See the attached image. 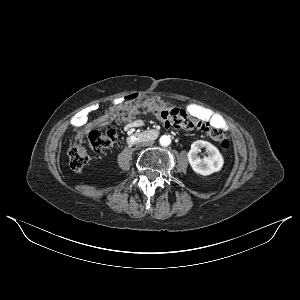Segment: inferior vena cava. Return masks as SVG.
<instances>
[{"label":"inferior vena cava","instance_id":"inferior-vena-cava-1","mask_svg":"<svg viewBox=\"0 0 300 300\" xmlns=\"http://www.w3.org/2000/svg\"><path fill=\"white\" fill-rule=\"evenodd\" d=\"M137 144L141 145V146H149V145L154 144V141H152V140H138Z\"/></svg>","mask_w":300,"mask_h":300}]
</instances>
